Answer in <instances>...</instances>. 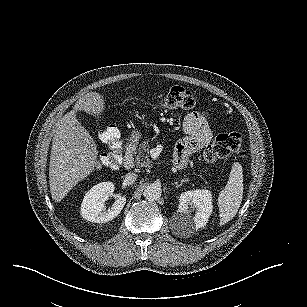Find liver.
<instances>
[{
    "label": "liver",
    "instance_id": "liver-1",
    "mask_svg": "<svg viewBox=\"0 0 307 307\" xmlns=\"http://www.w3.org/2000/svg\"><path fill=\"white\" fill-rule=\"evenodd\" d=\"M104 106L105 101L98 92H89L79 98L73 110L66 113L57 125L49 162L50 193L57 203L79 181L87 178L97 165V145L77 120L76 112L99 116Z\"/></svg>",
    "mask_w": 307,
    "mask_h": 307
}]
</instances>
